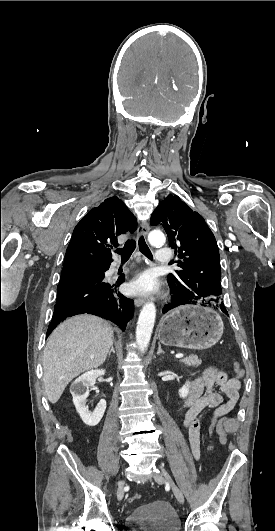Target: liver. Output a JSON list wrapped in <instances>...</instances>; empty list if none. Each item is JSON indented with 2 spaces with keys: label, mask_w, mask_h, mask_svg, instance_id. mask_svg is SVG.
Listing matches in <instances>:
<instances>
[{
  "label": "liver",
  "mask_w": 275,
  "mask_h": 531,
  "mask_svg": "<svg viewBox=\"0 0 275 531\" xmlns=\"http://www.w3.org/2000/svg\"><path fill=\"white\" fill-rule=\"evenodd\" d=\"M112 337L107 321L93 315H76L54 329L43 355V381L50 403L59 401L72 379L105 363Z\"/></svg>",
  "instance_id": "obj_1"
}]
</instances>
